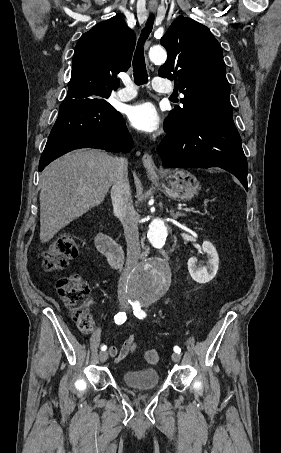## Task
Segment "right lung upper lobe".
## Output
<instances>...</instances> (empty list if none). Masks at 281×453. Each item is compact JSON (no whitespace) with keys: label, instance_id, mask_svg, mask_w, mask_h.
<instances>
[{"label":"right lung upper lobe","instance_id":"obj_1","mask_svg":"<svg viewBox=\"0 0 281 453\" xmlns=\"http://www.w3.org/2000/svg\"><path fill=\"white\" fill-rule=\"evenodd\" d=\"M135 33L114 16L98 23L78 40L64 100L108 98L119 86L117 75L131 66Z\"/></svg>","mask_w":281,"mask_h":453}]
</instances>
